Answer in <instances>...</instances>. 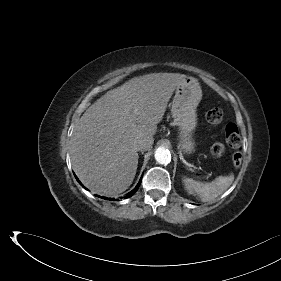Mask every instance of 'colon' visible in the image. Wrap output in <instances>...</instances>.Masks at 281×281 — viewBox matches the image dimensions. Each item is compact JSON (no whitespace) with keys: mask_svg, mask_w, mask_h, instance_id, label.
<instances>
[{"mask_svg":"<svg viewBox=\"0 0 281 281\" xmlns=\"http://www.w3.org/2000/svg\"><path fill=\"white\" fill-rule=\"evenodd\" d=\"M206 118L209 123L211 124H221L224 120V113L221 107H214L210 109L207 114ZM225 141L226 144L234 149L237 150L241 144V137L239 134L238 127L234 123H228L225 127ZM224 145L221 143L214 144L210 149V154L213 158H219L224 152ZM233 164L235 166H239L241 164V154L236 151L233 154Z\"/></svg>","mask_w":281,"mask_h":281,"instance_id":"obj_1","label":"colon"}]
</instances>
